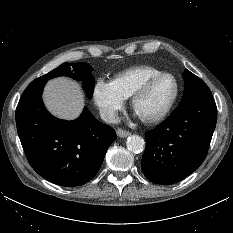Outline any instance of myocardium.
Instances as JSON below:
<instances>
[{"label": "myocardium", "mask_w": 233, "mask_h": 233, "mask_svg": "<svg viewBox=\"0 0 233 233\" xmlns=\"http://www.w3.org/2000/svg\"><path fill=\"white\" fill-rule=\"evenodd\" d=\"M165 77H170L174 81V85H175L174 94L171 100L169 101V103L167 104V106L159 114L155 116H152V117L138 116L135 113V107H136L137 102L150 90V88L155 82ZM179 92H180V86H179V82L177 78L171 73L162 72L157 75L149 77L147 80H145L141 84V86L131 96L130 106H131L133 113L139 118L141 122H143L144 124H148V125L157 124L161 122L162 120H164L169 115V113L171 112V110L173 109L174 105L177 102Z\"/></svg>", "instance_id": "1"}]
</instances>
